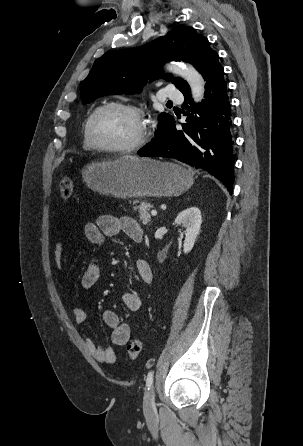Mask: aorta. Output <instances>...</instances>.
Returning <instances> with one entry per match:
<instances>
[{"label":"aorta","mask_w":303,"mask_h":446,"mask_svg":"<svg viewBox=\"0 0 303 446\" xmlns=\"http://www.w3.org/2000/svg\"><path fill=\"white\" fill-rule=\"evenodd\" d=\"M167 69L170 72L184 78L191 88L194 101L196 103L201 102L204 96L205 82L203 77L193 66L185 64H171L168 65Z\"/></svg>","instance_id":"1"}]
</instances>
